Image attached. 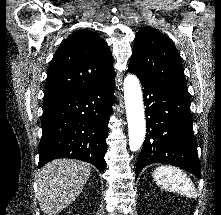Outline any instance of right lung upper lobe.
Returning a JSON list of instances; mask_svg holds the SVG:
<instances>
[{
    "label": "right lung upper lobe",
    "mask_w": 221,
    "mask_h": 215,
    "mask_svg": "<svg viewBox=\"0 0 221 215\" xmlns=\"http://www.w3.org/2000/svg\"><path fill=\"white\" fill-rule=\"evenodd\" d=\"M113 77V58L106 42L90 30H79L61 43L51 61L43 107L69 99Z\"/></svg>",
    "instance_id": "obj_1"
}]
</instances>
